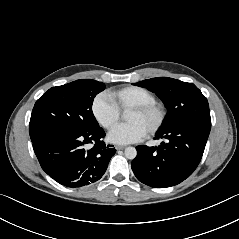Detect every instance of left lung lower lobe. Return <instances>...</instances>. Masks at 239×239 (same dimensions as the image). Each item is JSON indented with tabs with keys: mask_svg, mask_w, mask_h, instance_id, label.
<instances>
[{
	"mask_svg": "<svg viewBox=\"0 0 239 239\" xmlns=\"http://www.w3.org/2000/svg\"><path fill=\"white\" fill-rule=\"evenodd\" d=\"M211 123L186 122L159 129L158 147L137 146L132 170L137 179L151 187L174 186L189 177L198 166L210 133Z\"/></svg>",
	"mask_w": 239,
	"mask_h": 239,
	"instance_id": "left-lung-lower-lobe-1",
	"label": "left lung lower lobe"
}]
</instances>
